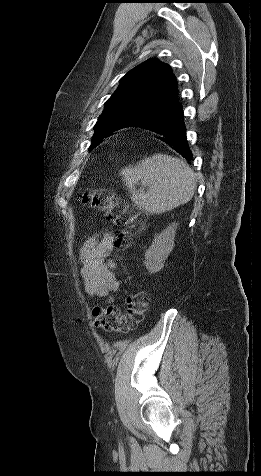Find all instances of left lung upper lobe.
Listing matches in <instances>:
<instances>
[{
	"label": "left lung upper lobe",
	"mask_w": 261,
	"mask_h": 476,
	"mask_svg": "<svg viewBox=\"0 0 261 476\" xmlns=\"http://www.w3.org/2000/svg\"><path fill=\"white\" fill-rule=\"evenodd\" d=\"M120 81L94 126L96 132L90 149L103 139L108 130L158 116L179 103L177 81L171 67L156 58L138 65Z\"/></svg>",
	"instance_id": "1"
}]
</instances>
